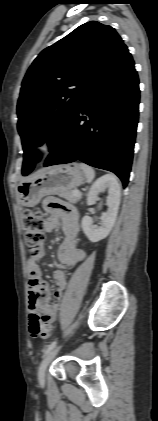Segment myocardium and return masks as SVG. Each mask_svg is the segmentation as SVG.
Segmentation results:
<instances>
[{"label":"myocardium","instance_id":"obj_1","mask_svg":"<svg viewBox=\"0 0 158 421\" xmlns=\"http://www.w3.org/2000/svg\"><path fill=\"white\" fill-rule=\"evenodd\" d=\"M54 147V134L51 131L43 132L33 145V154L37 157H44L49 154Z\"/></svg>","mask_w":158,"mask_h":421}]
</instances>
